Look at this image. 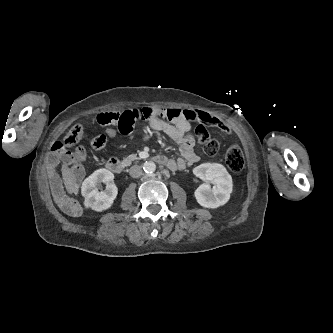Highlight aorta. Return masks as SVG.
Listing matches in <instances>:
<instances>
[{"label": "aorta", "mask_w": 333, "mask_h": 333, "mask_svg": "<svg viewBox=\"0 0 333 333\" xmlns=\"http://www.w3.org/2000/svg\"><path fill=\"white\" fill-rule=\"evenodd\" d=\"M143 169L146 173H153L156 170V164L152 161H146L143 165Z\"/></svg>", "instance_id": "obj_1"}]
</instances>
